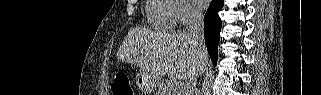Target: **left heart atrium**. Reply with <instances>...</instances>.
I'll list each match as a JSON object with an SVG mask.
<instances>
[{"instance_id":"left-heart-atrium-1","label":"left heart atrium","mask_w":321,"mask_h":95,"mask_svg":"<svg viewBox=\"0 0 321 95\" xmlns=\"http://www.w3.org/2000/svg\"><path fill=\"white\" fill-rule=\"evenodd\" d=\"M194 2L201 8L206 7L208 3L207 0H194Z\"/></svg>"}]
</instances>
